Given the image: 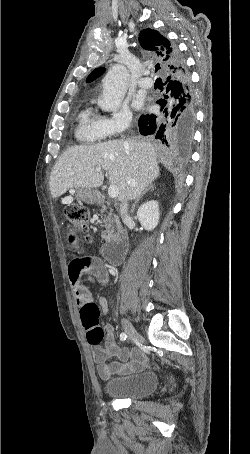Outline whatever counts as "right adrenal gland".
I'll use <instances>...</instances> for the list:
<instances>
[{"instance_id":"1","label":"right adrenal gland","mask_w":250,"mask_h":454,"mask_svg":"<svg viewBox=\"0 0 250 454\" xmlns=\"http://www.w3.org/2000/svg\"><path fill=\"white\" fill-rule=\"evenodd\" d=\"M153 191L154 190V186L152 184H150L142 193L141 195L138 196V198L135 200V202L133 203L132 205V209H131V212H134V208L137 204V202L143 197V195L147 192V191Z\"/></svg>"}]
</instances>
